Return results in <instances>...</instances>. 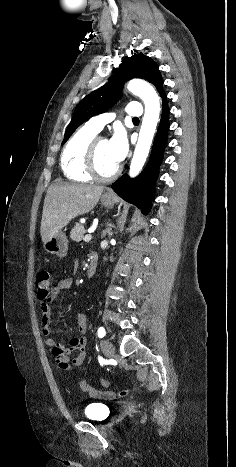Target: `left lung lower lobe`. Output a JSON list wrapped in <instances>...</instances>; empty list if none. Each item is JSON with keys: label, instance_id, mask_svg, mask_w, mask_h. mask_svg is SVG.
<instances>
[{"label": "left lung lower lobe", "instance_id": "obj_1", "mask_svg": "<svg viewBox=\"0 0 236 467\" xmlns=\"http://www.w3.org/2000/svg\"><path fill=\"white\" fill-rule=\"evenodd\" d=\"M160 96L162 98L161 121L154 140L152 153L145 170L137 178L130 179L128 175H123L112 184V189L120 197L136 205L145 215L149 213L151 208L155 181L158 176L159 165L162 161L163 150L166 146V137L169 128V107L164 90L160 92Z\"/></svg>", "mask_w": 236, "mask_h": 467}]
</instances>
